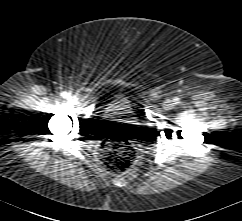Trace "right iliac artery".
Returning a JSON list of instances; mask_svg holds the SVG:
<instances>
[{
	"instance_id": "obj_1",
	"label": "right iliac artery",
	"mask_w": 242,
	"mask_h": 221,
	"mask_svg": "<svg viewBox=\"0 0 242 221\" xmlns=\"http://www.w3.org/2000/svg\"><path fill=\"white\" fill-rule=\"evenodd\" d=\"M61 97L64 98V99L69 98V93L66 92V91H63V92L61 93Z\"/></svg>"
}]
</instances>
